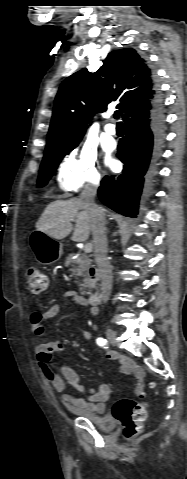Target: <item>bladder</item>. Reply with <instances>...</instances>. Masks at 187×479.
Segmentation results:
<instances>
[{
  "label": "bladder",
  "mask_w": 187,
  "mask_h": 479,
  "mask_svg": "<svg viewBox=\"0 0 187 479\" xmlns=\"http://www.w3.org/2000/svg\"><path fill=\"white\" fill-rule=\"evenodd\" d=\"M80 417L86 418L94 423L99 429L109 431L114 428L115 422L107 416L92 414L86 411H80Z\"/></svg>",
  "instance_id": "1"
}]
</instances>
